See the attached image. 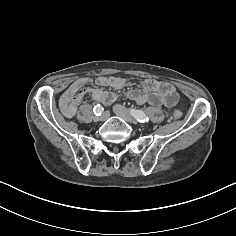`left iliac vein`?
Segmentation results:
<instances>
[{"mask_svg":"<svg viewBox=\"0 0 236 236\" xmlns=\"http://www.w3.org/2000/svg\"><path fill=\"white\" fill-rule=\"evenodd\" d=\"M113 112L121 117L122 119H124L125 121L129 122V123H133L134 119L131 116V114L129 113V111L122 105L120 104H115L113 106Z\"/></svg>","mask_w":236,"mask_h":236,"instance_id":"obj_1","label":"left iliac vein"}]
</instances>
